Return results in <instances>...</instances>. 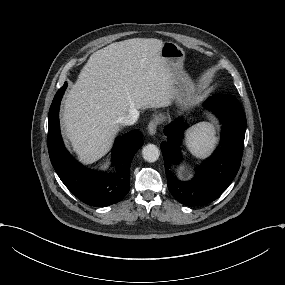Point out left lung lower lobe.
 <instances>
[{
  "mask_svg": "<svg viewBox=\"0 0 285 285\" xmlns=\"http://www.w3.org/2000/svg\"><path fill=\"white\" fill-rule=\"evenodd\" d=\"M205 106L222 123L221 141L213 155L197 169L194 179L182 182L170 171L171 166L181 160L179 145L183 137L181 131L185 128L182 120L165 127L167 141L161 143L168 188L187 206L203 205L217 199L236 176L242 159L246 118L239 101L233 95L217 94L210 97Z\"/></svg>",
  "mask_w": 285,
  "mask_h": 285,
  "instance_id": "left-lung-lower-lobe-1",
  "label": "left lung lower lobe"
}]
</instances>
